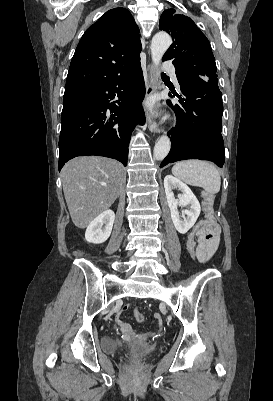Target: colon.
Returning <instances> with one entry per match:
<instances>
[{"instance_id": "5ec220e1", "label": "colon", "mask_w": 273, "mask_h": 401, "mask_svg": "<svg viewBox=\"0 0 273 401\" xmlns=\"http://www.w3.org/2000/svg\"><path fill=\"white\" fill-rule=\"evenodd\" d=\"M200 227L206 232H202L200 238L202 241H219L220 234L217 232L218 225L212 216H207L200 222ZM134 318L136 321H143L145 315L139 310L136 311Z\"/></svg>"}]
</instances>
